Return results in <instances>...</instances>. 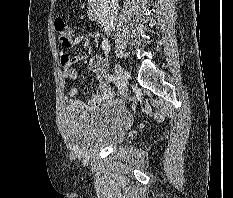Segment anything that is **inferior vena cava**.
<instances>
[{
    "label": "inferior vena cava",
    "instance_id": "obj_1",
    "mask_svg": "<svg viewBox=\"0 0 233 198\" xmlns=\"http://www.w3.org/2000/svg\"><path fill=\"white\" fill-rule=\"evenodd\" d=\"M101 21L105 33L111 35L118 15V0H100Z\"/></svg>",
    "mask_w": 233,
    "mask_h": 198
}]
</instances>
